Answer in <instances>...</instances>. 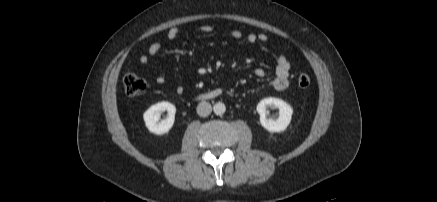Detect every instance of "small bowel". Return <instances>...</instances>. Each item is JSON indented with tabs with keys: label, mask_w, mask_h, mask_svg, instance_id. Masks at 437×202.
Wrapping results in <instances>:
<instances>
[{
	"label": "small bowel",
	"mask_w": 437,
	"mask_h": 202,
	"mask_svg": "<svg viewBox=\"0 0 437 202\" xmlns=\"http://www.w3.org/2000/svg\"><path fill=\"white\" fill-rule=\"evenodd\" d=\"M213 28L210 25H204L200 27V31L203 33H210L212 32ZM179 35V29L177 27H172L167 32V39L169 41L175 40ZM231 36L234 39H241L243 37V33L239 30H234L231 32ZM247 41L251 44L254 43H266L268 41V36L265 33H250L247 36ZM162 48V45L160 42H154L152 43L147 50V54L141 55L139 58V62L141 65L146 66L149 63V58L157 55ZM291 69V63L290 61L284 56L279 55L277 57V62L275 66V73L274 78L271 80L270 85L272 88H274L277 91H283L289 86V74ZM255 75L257 77H264L266 72L262 68H258L255 70ZM156 82L158 84H164L165 78L162 75H158L156 77ZM175 92L178 94H181L183 92L182 86H176Z\"/></svg>",
	"instance_id": "small-bowel-1"
}]
</instances>
